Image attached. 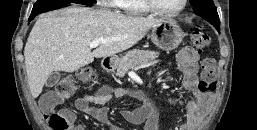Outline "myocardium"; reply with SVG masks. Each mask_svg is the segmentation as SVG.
Returning a JSON list of instances; mask_svg holds the SVG:
<instances>
[{"label":"myocardium","instance_id":"myocardium-1","mask_svg":"<svg viewBox=\"0 0 257 130\" xmlns=\"http://www.w3.org/2000/svg\"><path fill=\"white\" fill-rule=\"evenodd\" d=\"M143 1H144L145 5L147 6V8L151 12H154V13H157L160 15H164V16H169V17H174V16H177L180 13H182L188 4V0H183L181 6L177 10L167 11V10L160 8L155 3V0H143Z\"/></svg>","mask_w":257,"mask_h":130}]
</instances>
